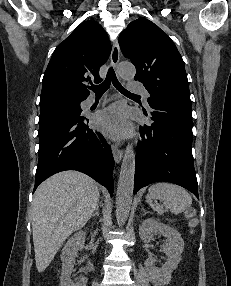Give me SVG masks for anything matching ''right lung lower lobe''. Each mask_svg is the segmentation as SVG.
<instances>
[{
  "label": "right lung lower lobe",
  "mask_w": 231,
  "mask_h": 286,
  "mask_svg": "<svg viewBox=\"0 0 231 286\" xmlns=\"http://www.w3.org/2000/svg\"><path fill=\"white\" fill-rule=\"evenodd\" d=\"M39 162L35 187L64 170L81 171L113 194L114 159L101 133L85 117H68L39 127Z\"/></svg>",
  "instance_id": "1"
}]
</instances>
